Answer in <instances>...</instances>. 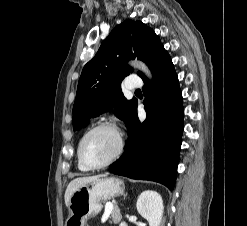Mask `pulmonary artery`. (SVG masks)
I'll list each match as a JSON object with an SVG mask.
<instances>
[{"label": "pulmonary artery", "mask_w": 247, "mask_h": 226, "mask_svg": "<svg viewBox=\"0 0 247 226\" xmlns=\"http://www.w3.org/2000/svg\"><path fill=\"white\" fill-rule=\"evenodd\" d=\"M142 87V81L137 76H130L126 81V88L129 90H135Z\"/></svg>", "instance_id": "pulmonary-artery-1"}]
</instances>
